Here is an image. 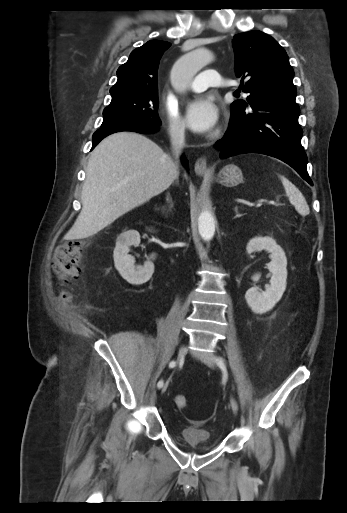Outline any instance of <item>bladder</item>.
Instances as JSON below:
<instances>
[{
    "label": "bladder",
    "mask_w": 347,
    "mask_h": 513,
    "mask_svg": "<svg viewBox=\"0 0 347 513\" xmlns=\"http://www.w3.org/2000/svg\"><path fill=\"white\" fill-rule=\"evenodd\" d=\"M180 436L185 445L200 451H210L217 447L211 432L204 428L186 426L180 431Z\"/></svg>",
    "instance_id": "1"
}]
</instances>
